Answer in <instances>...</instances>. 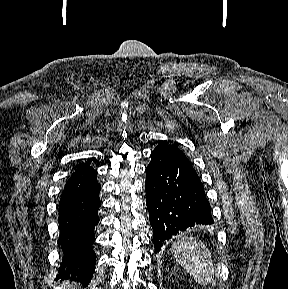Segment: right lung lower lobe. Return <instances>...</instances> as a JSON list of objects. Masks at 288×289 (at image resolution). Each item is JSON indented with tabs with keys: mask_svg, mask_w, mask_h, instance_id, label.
<instances>
[{
	"mask_svg": "<svg viewBox=\"0 0 288 289\" xmlns=\"http://www.w3.org/2000/svg\"><path fill=\"white\" fill-rule=\"evenodd\" d=\"M100 184L97 171L80 164L66 182L59 203L58 245L63 250L59 277L88 283L95 268L94 228L99 222Z\"/></svg>",
	"mask_w": 288,
	"mask_h": 289,
	"instance_id": "obj_1",
	"label": "right lung lower lobe"
}]
</instances>
